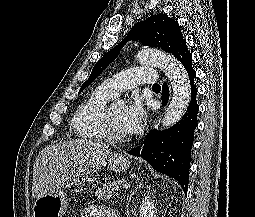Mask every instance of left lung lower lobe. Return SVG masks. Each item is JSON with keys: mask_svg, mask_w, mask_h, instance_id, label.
Returning a JSON list of instances; mask_svg holds the SVG:
<instances>
[{"mask_svg": "<svg viewBox=\"0 0 255 217\" xmlns=\"http://www.w3.org/2000/svg\"><path fill=\"white\" fill-rule=\"evenodd\" d=\"M185 67L191 81V102L182 119L173 127L151 132L142 146L129 151L130 154L146 160L156 171L166 174L179 182L185 194L188 189L191 148L194 130L197 127L199 106L196 102L197 89L194 86L195 70L192 67V55L187 47L173 54ZM169 89L166 83L162 87V102L167 104Z\"/></svg>", "mask_w": 255, "mask_h": 217, "instance_id": "1", "label": "left lung lower lobe"}]
</instances>
